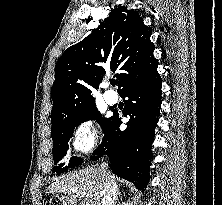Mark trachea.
Returning <instances> with one entry per match:
<instances>
[{
    "mask_svg": "<svg viewBox=\"0 0 222 205\" xmlns=\"http://www.w3.org/2000/svg\"><path fill=\"white\" fill-rule=\"evenodd\" d=\"M116 84H117V82H116V81H113V82H112V85H113V86H115Z\"/></svg>",
    "mask_w": 222,
    "mask_h": 205,
    "instance_id": "obj_1",
    "label": "trachea"
}]
</instances>
